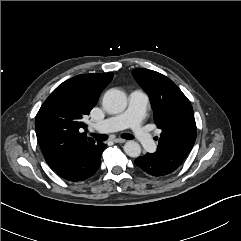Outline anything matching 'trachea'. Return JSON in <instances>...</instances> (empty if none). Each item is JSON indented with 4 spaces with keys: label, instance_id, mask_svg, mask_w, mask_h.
I'll return each mask as SVG.
<instances>
[{
    "label": "trachea",
    "instance_id": "1",
    "mask_svg": "<svg viewBox=\"0 0 241 241\" xmlns=\"http://www.w3.org/2000/svg\"><path fill=\"white\" fill-rule=\"evenodd\" d=\"M93 137H95V139L97 141H106L107 140V136L104 134H96V135H92ZM122 138L127 139V140H131L134 139V136L131 134H122L121 135Z\"/></svg>",
    "mask_w": 241,
    "mask_h": 241
}]
</instances>
